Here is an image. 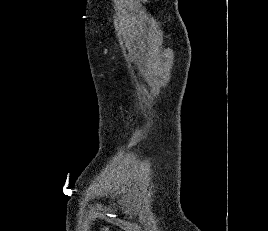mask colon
<instances>
[{
  "label": "colon",
  "instance_id": "1",
  "mask_svg": "<svg viewBox=\"0 0 268 231\" xmlns=\"http://www.w3.org/2000/svg\"><path fill=\"white\" fill-rule=\"evenodd\" d=\"M101 231H112L111 227L108 224H104L101 227Z\"/></svg>",
  "mask_w": 268,
  "mask_h": 231
}]
</instances>
